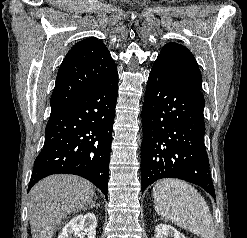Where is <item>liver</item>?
Returning <instances> with one entry per match:
<instances>
[{
  "label": "liver",
  "instance_id": "6515ba94",
  "mask_svg": "<svg viewBox=\"0 0 247 238\" xmlns=\"http://www.w3.org/2000/svg\"><path fill=\"white\" fill-rule=\"evenodd\" d=\"M93 185L74 175H51L30 191L32 238H53L68 214L86 208L94 197Z\"/></svg>",
  "mask_w": 247,
  "mask_h": 238
}]
</instances>
